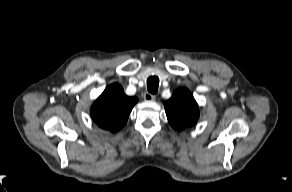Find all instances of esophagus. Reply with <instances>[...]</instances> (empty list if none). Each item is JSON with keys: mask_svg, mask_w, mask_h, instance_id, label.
<instances>
[{"mask_svg": "<svg viewBox=\"0 0 292 192\" xmlns=\"http://www.w3.org/2000/svg\"><path fill=\"white\" fill-rule=\"evenodd\" d=\"M143 97L147 101H154L156 99V96L155 95L150 94L148 92L144 93Z\"/></svg>", "mask_w": 292, "mask_h": 192, "instance_id": "34e87169", "label": "esophagus"}]
</instances>
